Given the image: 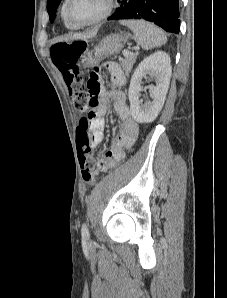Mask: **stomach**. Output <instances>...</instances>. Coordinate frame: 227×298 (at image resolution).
<instances>
[{
    "instance_id": "obj_1",
    "label": "stomach",
    "mask_w": 227,
    "mask_h": 298,
    "mask_svg": "<svg viewBox=\"0 0 227 298\" xmlns=\"http://www.w3.org/2000/svg\"><path fill=\"white\" fill-rule=\"evenodd\" d=\"M127 38L121 34H111L105 37L98 46L84 55L83 67H94L104 58L118 53L126 43Z\"/></svg>"
}]
</instances>
